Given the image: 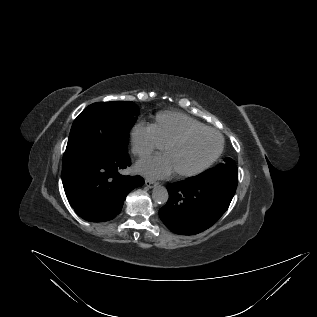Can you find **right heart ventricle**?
<instances>
[{
  "instance_id": "1",
  "label": "right heart ventricle",
  "mask_w": 317,
  "mask_h": 317,
  "mask_svg": "<svg viewBox=\"0 0 317 317\" xmlns=\"http://www.w3.org/2000/svg\"><path fill=\"white\" fill-rule=\"evenodd\" d=\"M159 142L164 145L169 139L189 128L205 125L196 119L176 111L158 112L150 125Z\"/></svg>"
}]
</instances>
